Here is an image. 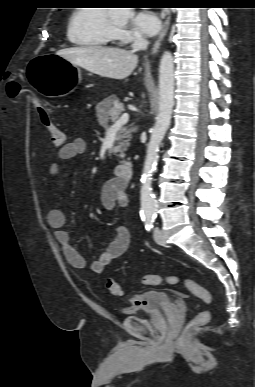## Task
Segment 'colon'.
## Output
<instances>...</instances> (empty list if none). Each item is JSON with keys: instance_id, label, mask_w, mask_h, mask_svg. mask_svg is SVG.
<instances>
[{"instance_id": "1", "label": "colon", "mask_w": 255, "mask_h": 387, "mask_svg": "<svg viewBox=\"0 0 255 387\" xmlns=\"http://www.w3.org/2000/svg\"><path fill=\"white\" fill-rule=\"evenodd\" d=\"M22 92L21 85L16 81H11L7 84V94L11 100H16ZM35 107L38 112L41 123L46 128L51 136V140L55 147L58 149L63 147L67 143L66 135L59 129L54 123L51 114L47 108L41 105L38 101L35 102ZM142 284L147 286H159L162 284L178 285L181 284L189 292L202 300L205 304L210 305L212 303V296L207 289L202 287L200 284L192 279L184 278L176 275H158V274H147L141 279ZM107 290L113 296H121L122 289L120 284L114 280L109 279L106 283ZM211 317L210 311H202L192 318L184 327V332H190L198 327L205 325Z\"/></svg>"}]
</instances>
